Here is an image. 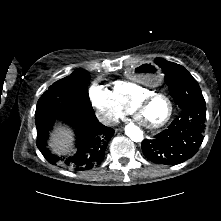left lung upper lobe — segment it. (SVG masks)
<instances>
[{
    "label": "left lung upper lobe",
    "mask_w": 221,
    "mask_h": 221,
    "mask_svg": "<svg viewBox=\"0 0 221 221\" xmlns=\"http://www.w3.org/2000/svg\"><path fill=\"white\" fill-rule=\"evenodd\" d=\"M155 62L163 69L169 91L181 109L197 102H205L197 81L183 66L160 58Z\"/></svg>",
    "instance_id": "left-lung-upper-lobe-1"
}]
</instances>
